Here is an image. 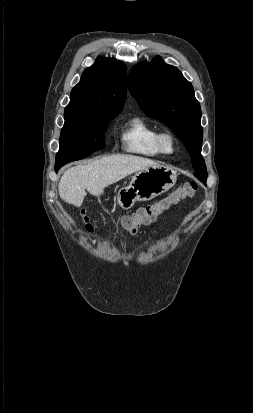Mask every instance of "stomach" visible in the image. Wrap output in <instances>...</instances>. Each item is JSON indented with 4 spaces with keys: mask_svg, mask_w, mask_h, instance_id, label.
<instances>
[{
    "mask_svg": "<svg viewBox=\"0 0 253 413\" xmlns=\"http://www.w3.org/2000/svg\"><path fill=\"white\" fill-rule=\"evenodd\" d=\"M176 180V172L161 165L137 171L130 184L119 190L118 203L123 209H129L136 201H148L166 192Z\"/></svg>",
    "mask_w": 253,
    "mask_h": 413,
    "instance_id": "stomach-1",
    "label": "stomach"
}]
</instances>
